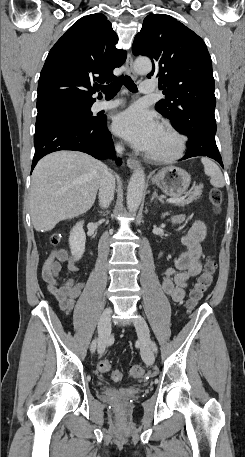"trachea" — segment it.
<instances>
[{
	"label": "trachea",
	"mask_w": 245,
	"mask_h": 457,
	"mask_svg": "<svg viewBox=\"0 0 245 457\" xmlns=\"http://www.w3.org/2000/svg\"><path fill=\"white\" fill-rule=\"evenodd\" d=\"M123 84L125 85V87L128 88L130 92H137L136 84L128 75L121 76L109 85H106L105 87H100V89L102 92L105 93L106 97H114L119 92Z\"/></svg>",
	"instance_id": "trachea-1"
}]
</instances>
